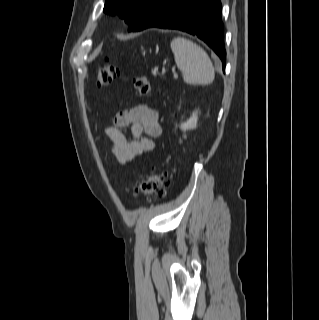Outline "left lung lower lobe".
I'll list each match as a JSON object with an SVG mask.
<instances>
[{"mask_svg":"<svg viewBox=\"0 0 319 320\" xmlns=\"http://www.w3.org/2000/svg\"><path fill=\"white\" fill-rule=\"evenodd\" d=\"M151 27L177 29L198 37L217 54L225 69L220 0H157L129 26L128 31Z\"/></svg>","mask_w":319,"mask_h":320,"instance_id":"left-lung-lower-lobe-1","label":"left lung lower lobe"}]
</instances>
